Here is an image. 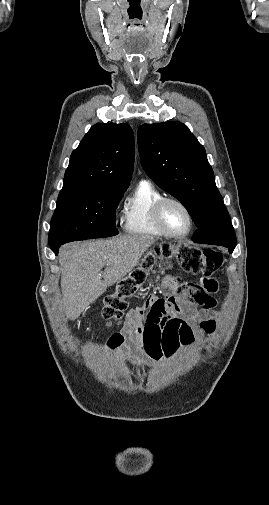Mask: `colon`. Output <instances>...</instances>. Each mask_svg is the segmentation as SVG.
I'll list each match as a JSON object with an SVG mask.
<instances>
[{"mask_svg":"<svg viewBox=\"0 0 269 505\" xmlns=\"http://www.w3.org/2000/svg\"><path fill=\"white\" fill-rule=\"evenodd\" d=\"M173 257L180 262L181 268L186 274H205L207 279L210 278V274L217 272L223 263V255L212 249H200L186 244L159 246L153 252L145 255L140 266L121 279L116 291L105 298L102 309L103 317L110 324L120 326L122 332L126 330L128 324L122 322L127 308L126 300L143 287L147 273L153 268L157 258L169 259ZM170 281L174 283L173 280Z\"/></svg>","mask_w":269,"mask_h":505,"instance_id":"obj_1","label":"colon"}]
</instances>
